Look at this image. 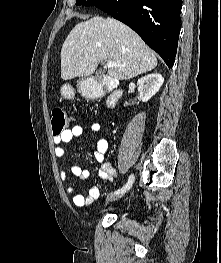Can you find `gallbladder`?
<instances>
[{"label":"gallbladder","instance_id":"bac80fb5","mask_svg":"<svg viewBox=\"0 0 221 263\" xmlns=\"http://www.w3.org/2000/svg\"><path fill=\"white\" fill-rule=\"evenodd\" d=\"M101 73V71H98V74H100Z\"/></svg>","mask_w":221,"mask_h":263}]
</instances>
